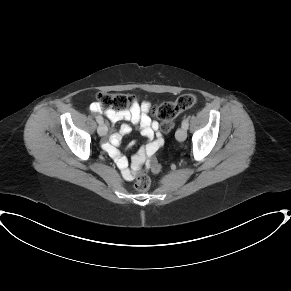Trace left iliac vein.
<instances>
[{"label": "left iliac vein", "instance_id": "1", "mask_svg": "<svg viewBox=\"0 0 291 291\" xmlns=\"http://www.w3.org/2000/svg\"><path fill=\"white\" fill-rule=\"evenodd\" d=\"M186 137H187L186 129L181 127L176 131V139L178 141L182 142L186 139Z\"/></svg>", "mask_w": 291, "mask_h": 291}]
</instances>
